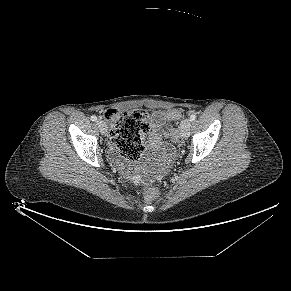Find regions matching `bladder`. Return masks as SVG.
Masks as SVG:
<instances>
[{"label":"bladder","instance_id":"obj_1","mask_svg":"<svg viewBox=\"0 0 291 291\" xmlns=\"http://www.w3.org/2000/svg\"><path fill=\"white\" fill-rule=\"evenodd\" d=\"M165 168H167V166H164L162 168H158L157 165H152V170H155V171L165 170Z\"/></svg>","mask_w":291,"mask_h":291}]
</instances>
